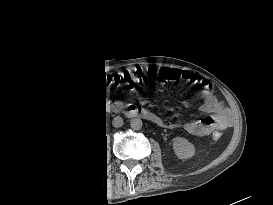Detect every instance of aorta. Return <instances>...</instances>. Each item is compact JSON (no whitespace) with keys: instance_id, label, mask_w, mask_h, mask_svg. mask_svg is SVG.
Returning <instances> with one entry per match:
<instances>
[{"instance_id":"aorta-1","label":"aorta","mask_w":273,"mask_h":205,"mask_svg":"<svg viewBox=\"0 0 273 205\" xmlns=\"http://www.w3.org/2000/svg\"><path fill=\"white\" fill-rule=\"evenodd\" d=\"M143 122L140 118H133L130 121V126L133 130H140L142 128Z\"/></svg>"}]
</instances>
